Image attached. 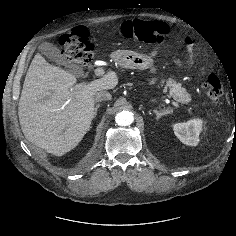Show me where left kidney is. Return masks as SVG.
I'll use <instances>...</instances> for the list:
<instances>
[{"label":"left kidney","instance_id":"obj_1","mask_svg":"<svg viewBox=\"0 0 236 236\" xmlns=\"http://www.w3.org/2000/svg\"><path fill=\"white\" fill-rule=\"evenodd\" d=\"M203 127L201 119H192L186 123L173 125L174 134L184 144L196 146L199 143V135Z\"/></svg>","mask_w":236,"mask_h":236}]
</instances>
